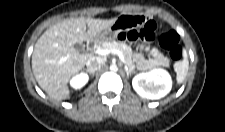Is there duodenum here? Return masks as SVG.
<instances>
[{"label": "duodenum", "mask_w": 225, "mask_h": 132, "mask_svg": "<svg viewBox=\"0 0 225 132\" xmlns=\"http://www.w3.org/2000/svg\"><path fill=\"white\" fill-rule=\"evenodd\" d=\"M95 41L93 39L88 40L87 47L88 49H92L94 47Z\"/></svg>", "instance_id": "duodenum-1"}]
</instances>
